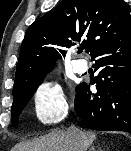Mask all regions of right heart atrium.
Listing matches in <instances>:
<instances>
[{"mask_svg": "<svg viewBox=\"0 0 131 151\" xmlns=\"http://www.w3.org/2000/svg\"><path fill=\"white\" fill-rule=\"evenodd\" d=\"M34 110L42 124L60 122L68 112V103L61 86L53 81L41 83L34 94Z\"/></svg>", "mask_w": 131, "mask_h": 151, "instance_id": "d8ad5b80", "label": "right heart atrium"}]
</instances>
